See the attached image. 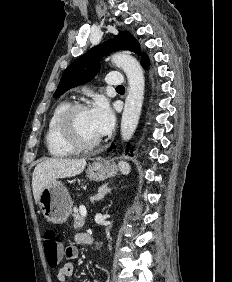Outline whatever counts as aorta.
<instances>
[{"mask_svg":"<svg viewBox=\"0 0 232 282\" xmlns=\"http://www.w3.org/2000/svg\"><path fill=\"white\" fill-rule=\"evenodd\" d=\"M112 62L121 67L128 79V94L121 119V138L128 141L138 125L144 98V74L140 63L127 53H117Z\"/></svg>","mask_w":232,"mask_h":282,"instance_id":"762f6f07","label":"aorta"}]
</instances>
